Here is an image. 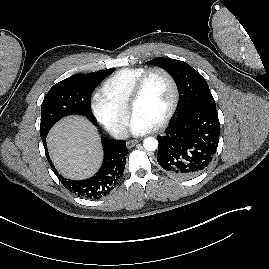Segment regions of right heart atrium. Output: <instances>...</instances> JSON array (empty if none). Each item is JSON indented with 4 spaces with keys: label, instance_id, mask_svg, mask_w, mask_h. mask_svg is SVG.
Returning a JSON list of instances; mask_svg holds the SVG:
<instances>
[{
    "label": "right heart atrium",
    "instance_id": "obj_1",
    "mask_svg": "<svg viewBox=\"0 0 269 269\" xmlns=\"http://www.w3.org/2000/svg\"><path fill=\"white\" fill-rule=\"evenodd\" d=\"M91 110L95 118L111 134L122 137L126 134L128 112L113 103L102 92H95L91 99Z\"/></svg>",
    "mask_w": 269,
    "mask_h": 269
}]
</instances>
